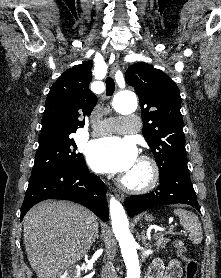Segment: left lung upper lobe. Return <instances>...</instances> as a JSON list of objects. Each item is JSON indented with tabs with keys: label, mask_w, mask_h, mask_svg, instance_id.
I'll use <instances>...</instances> for the list:
<instances>
[{
	"label": "left lung upper lobe",
	"mask_w": 221,
	"mask_h": 278,
	"mask_svg": "<svg viewBox=\"0 0 221 278\" xmlns=\"http://www.w3.org/2000/svg\"><path fill=\"white\" fill-rule=\"evenodd\" d=\"M139 97L143 136L150 146L159 175L187 164L181 97L177 85L161 70L136 63L125 74Z\"/></svg>",
	"instance_id": "5c2ea615"
}]
</instances>
